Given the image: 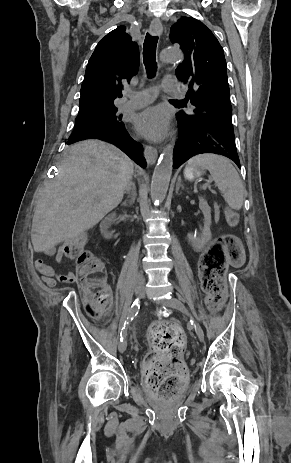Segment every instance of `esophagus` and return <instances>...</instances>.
I'll return each mask as SVG.
<instances>
[{
  "label": "esophagus",
  "mask_w": 291,
  "mask_h": 463,
  "mask_svg": "<svg viewBox=\"0 0 291 463\" xmlns=\"http://www.w3.org/2000/svg\"><path fill=\"white\" fill-rule=\"evenodd\" d=\"M150 32L154 36L162 34L163 26L159 19L155 18L151 21ZM144 155L149 164H154L157 160L158 153L154 147L146 145Z\"/></svg>",
  "instance_id": "esophagus-1"
}]
</instances>
